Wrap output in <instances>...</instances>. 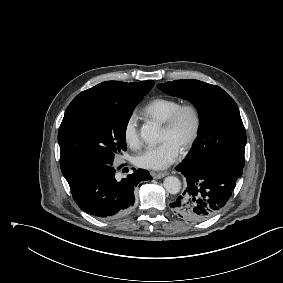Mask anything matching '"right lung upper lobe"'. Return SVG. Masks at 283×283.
I'll use <instances>...</instances> for the list:
<instances>
[{
    "mask_svg": "<svg viewBox=\"0 0 283 283\" xmlns=\"http://www.w3.org/2000/svg\"><path fill=\"white\" fill-rule=\"evenodd\" d=\"M153 85L152 80L132 83L107 81L81 92L70 104L127 101L150 91Z\"/></svg>",
    "mask_w": 283,
    "mask_h": 283,
    "instance_id": "1",
    "label": "right lung upper lobe"
}]
</instances>
